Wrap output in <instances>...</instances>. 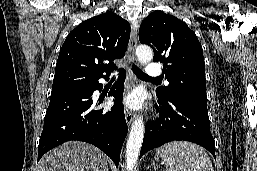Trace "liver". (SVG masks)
Instances as JSON below:
<instances>
[{
  "mask_svg": "<svg viewBox=\"0 0 257 171\" xmlns=\"http://www.w3.org/2000/svg\"><path fill=\"white\" fill-rule=\"evenodd\" d=\"M107 168L105 154L78 141H69L50 150L38 164V171H106Z\"/></svg>",
  "mask_w": 257,
  "mask_h": 171,
  "instance_id": "obj_1",
  "label": "liver"
}]
</instances>
